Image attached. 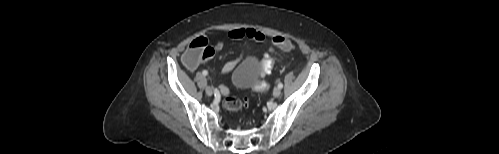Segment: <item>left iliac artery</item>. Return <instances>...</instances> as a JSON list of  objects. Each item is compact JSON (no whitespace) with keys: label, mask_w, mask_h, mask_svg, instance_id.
I'll return each mask as SVG.
<instances>
[{"label":"left iliac artery","mask_w":499,"mask_h":154,"mask_svg":"<svg viewBox=\"0 0 499 154\" xmlns=\"http://www.w3.org/2000/svg\"><path fill=\"white\" fill-rule=\"evenodd\" d=\"M278 87H279L280 89H282V88H283V84H282V83H279V84H278Z\"/></svg>","instance_id":"left-iliac-artery-1"}]
</instances>
